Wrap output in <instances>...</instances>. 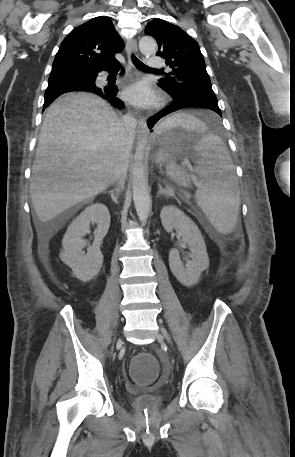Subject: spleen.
<instances>
[{
	"label": "spleen",
	"mask_w": 295,
	"mask_h": 457,
	"mask_svg": "<svg viewBox=\"0 0 295 457\" xmlns=\"http://www.w3.org/2000/svg\"><path fill=\"white\" fill-rule=\"evenodd\" d=\"M175 126L198 129L201 132L207 129L201 119L187 113L170 116L158 129ZM194 151L198 156L195 168L200 176V180L195 182L198 186L195 192L198 205L219 233L230 234L236 226L240 206L238 179L230 154L222 140L214 134H207L194 147ZM166 172L182 185H188L190 179H193L176 165H168Z\"/></svg>",
	"instance_id": "3e777b00"
}]
</instances>
